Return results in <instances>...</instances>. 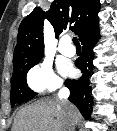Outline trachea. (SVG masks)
<instances>
[{"mask_svg": "<svg viewBox=\"0 0 117 131\" xmlns=\"http://www.w3.org/2000/svg\"><path fill=\"white\" fill-rule=\"evenodd\" d=\"M73 43H74L75 46H80V43H79L77 37L73 38Z\"/></svg>", "mask_w": 117, "mask_h": 131, "instance_id": "trachea-1", "label": "trachea"}]
</instances>
